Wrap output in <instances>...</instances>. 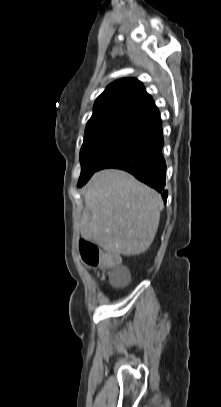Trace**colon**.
I'll return each instance as SVG.
<instances>
[{"instance_id":"1","label":"colon","mask_w":221,"mask_h":407,"mask_svg":"<svg viewBox=\"0 0 221 407\" xmlns=\"http://www.w3.org/2000/svg\"><path fill=\"white\" fill-rule=\"evenodd\" d=\"M80 252L83 261L93 267H105L106 269L116 266L117 261H123V259H119L118 252H107L106 256H103L97 246L87 241L80 243Z\"/></svg>"}]
</instances>
